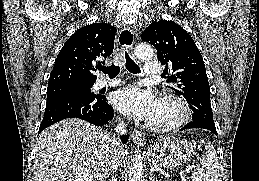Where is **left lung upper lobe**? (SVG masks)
<instances>
[{
  "mask_svg": "<svg viewBox=\"0 0 259 181\" xmlns=\"http://www.w3.org/2000/svg\"><path fill=\"white\" fill-rule=\"evenodd\" d=\"M142 41L157 49L158 60L171 72L169 88L178 92L193 111L192 119L215 125L210 105V87L202 55L192 37L173 21L152 22Z\"/></svg>",
  "mask_w": 259,
  "mask_h": 181,
  "instance_id": "5c2ea615",
  "label": "left lung upper lobe"
}]
</instances>
